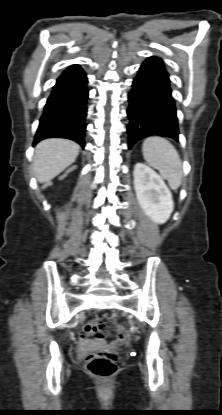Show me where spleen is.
<instances>
[{
  "mask_svg": "<svg viewBox=\"0 0 222 415\" xmlns=\"http://www.w3.org/2000/svg\"><path fill=\"white\" fill-rule=\"evenodd\" d=\"M148 165L157 169L172 190L179 188L183 178L182 162L175 147L165 138L148 137L142 145Z\"/></svg>",
  "mask_w": 222,
  "mask_h": 415,
  "instance_id": "3e777b00",
  "label": "spleen"
}]
</instances>
